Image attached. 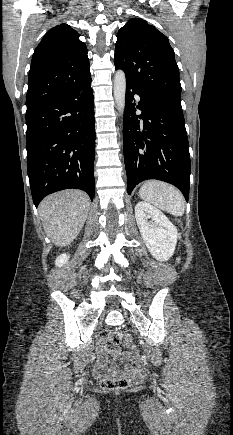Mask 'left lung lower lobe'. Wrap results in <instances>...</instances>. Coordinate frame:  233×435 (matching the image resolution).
Masks as SVG:
<instances>
[{"mask_svg":"<svg viewBox=\"0 0 233 435\" xmlns=\"http://www.w3.org/2000/svg\"><path fill=\"white\" fill-rule=\"evenodd\" d=\"M123 144L128 194L138 183L157 179L176 186L188 201L191 163L180 103L150 97L126 80Z\"/></svg>","mask_w":233,"mask_h":435,"instance_id":"left-lung-lower-lobe-1","label":"left lung lower lobe"}]
</instances>
